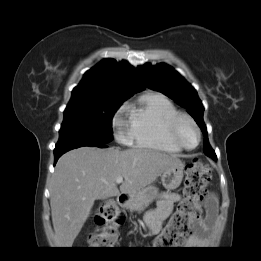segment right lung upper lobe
<instances>
[{
	"label": "right lung upper lobe",
	"mask_w": 261,
	"mask_h": 261,
	"mask_svg": "<svg viewBox=\"0 0 261 261\" xmlns=\"http://www.w3.org/2000/svg\"><path fill=\"white\" fill-rule=\"evenodd\" d=\"M144 89L136 70L129 63L105 59L88 70L72 91V99L99 96L129 98Z\"/></svg>",
	"instance_id": "cb5924a9"
}]
</instances>
